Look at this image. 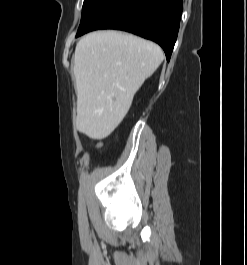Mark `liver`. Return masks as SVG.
Instances as JSON below:
<instances>
[{"label": "liver", "instance_id": "1", "mask_svg": "<svg viewBox=\"0 0 247 265\" xmlns=\"http://www.w3.org/2000/svg\"><path fill=\"white\" fill-rule=\"evenodd\" d=\"M163 61L161 48L131 34L96 31L76 45V127L93 139L110 135L135 93Z\"/></svg>", "mask_w": 247, "mask_h": 265}]
</instances>
